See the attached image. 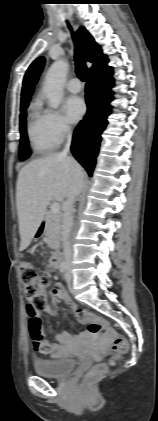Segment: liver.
I'll return each instance as SVG.
<instances>
[{
    "label": "liver",
    "mask_w": 158,
    "mask_h": 421,
    "mask_svg": "<svg viewBox=\"0 0 158 421\" xmlns=\"http://www.w3.org/2000/svg\"><path fill=\"white\" fill-rule=\"evenodd\" d=\"M76 166L81 168L72 157L54 153L21 168L16 185L21 250L30 245L51 200L67 196Z\"/></svg>",
    "instance_id": "obj_1"
}]
</instances>
